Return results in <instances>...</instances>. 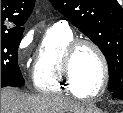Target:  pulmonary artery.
<instances>
[{
	"label": "pulmonary artery",
	"instance_id": "e3ab8cb5",
	"mask_svg": "<svg viewBox=\"0 0 123 113\" xmlns=\"http://www.w3.org/2000/svg\"><path fill=\"white\" fill-rule=\"evenodd\" d=\"M55 26L67 27V22L66 21H59V22L55 23Z\"/></svg>",
	"mask_w": 123,
	"mask_h": 113
}]
</instances>
